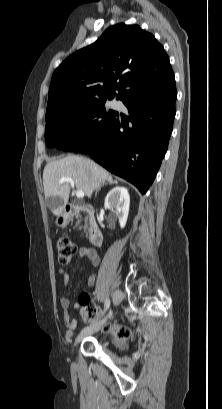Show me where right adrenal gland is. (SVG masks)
I'll return each instance as SVG.
<instances>
[{"mask_svg":"<svg viewBox=\"0 0 222 409\" xmlns=\"http://www.w3.org/2000/svg\"><path fill=\"white\" fill-rule=\"evenodd\" d=\"M115 183H116V182H115L111 177L108 178L107 182H103V183L97 188L96 193H95V197L97 196V193L101 190L102 187H104V186L107 185V184H115Z\"/></svg>","mask_w":222,"mask_h":409,"instance_id":"right-adrenal-gland-1","label":"right adrenal gland"}]
</instances>
